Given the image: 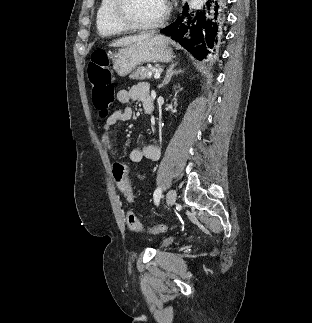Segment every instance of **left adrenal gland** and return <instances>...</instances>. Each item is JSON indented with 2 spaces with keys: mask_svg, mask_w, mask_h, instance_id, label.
Masks as SVG:
<instances>
[{
  "mask_svg": "<svg viewBox=\"0 0 312 323\" xmlns=\"http://www.w3.org/2000/svg\"><path fill=\"white\" fill-rule=\"evenodd\" d=\"M175 66H177V62L176 64H171V66H169V70H167L166 72V76L162 82V84H159V86H157V88H164V86H166V84H169L173 74H179V72H182V70H174Z\"/></svg>",
  "mask_w": 312,
  "mask_h": 323,
  "instance_id": "left-adrenal-gland-1",
  "label": "left adrenal gland"
}]
</instances>
